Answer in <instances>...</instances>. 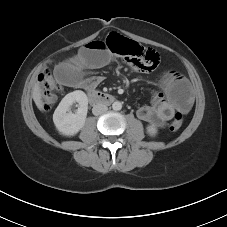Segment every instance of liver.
<instances>
[{"instance_id":"6515ba94","label":"liver","mask_w":227,"mask_h":227,"mask_svg":"<svg viewBox=\"0 0 227 227\" xmlns=\"http://www.w3.org/2000/svg\"><path fill=\"white\" fill-rule=\"evenodd\" d=\"M32 97L36 106L40 110H43L42 91L39 82H36L32 89Z\"/></svg>"}]
</instances>
